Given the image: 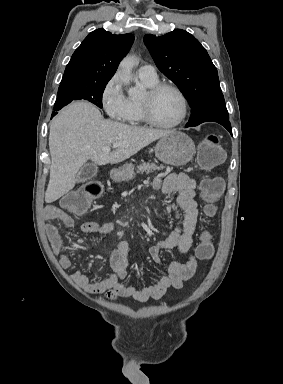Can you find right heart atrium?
<instances>
[{"instance_id": "d8ad5b80", "label": "right heart atrium", "mask_w": 283, "mask_h": 384, "mask_svg": "<svg viewBox=\"0 0 283 384\" xmlns=\"http://www.w3.org/2000/svg\"><path fill=\"white\" fill-rule=\"evenodd\" d=\"M101 105L109 122L123 125L127 122L128 98L124 92L122 80L118 73H114L101 89Z\"/></svg>"}]
</instances>
